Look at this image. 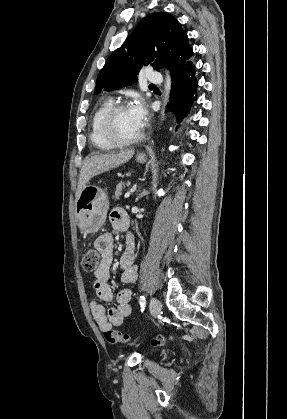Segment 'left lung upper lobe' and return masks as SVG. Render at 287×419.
I'll return each mask as SVG.
<instances>
[{"label":"left lung upper lobe","instance_id":"1","mask_svg":"<svg viewBox=\"0 0 287 419\" xmlns=\"http://www.w3.org/2000/svg\"><path fill=\"white\" fill-rule=\"evenodd\" d=\"M193 54L188 36L180 23L167 13L145 17L106 61L99 72L95 94L103 89H119L137 81L143 66L159 71L166 64L173 73L183 68Z\"/></svg>","mask_w":287,"mask_h":419}]
</instances>
